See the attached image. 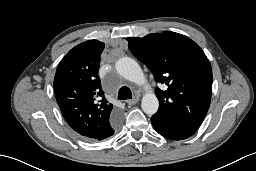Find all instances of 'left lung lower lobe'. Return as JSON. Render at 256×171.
Listing matches in <instances>:
<instances>
[{"label":"left lung lower lobe","instance_id":"left-lung-lower-lobe-1","mask_svg":"<svg viewBox=\"0 0 256 171\" xmlns=\"http://www.w3.org/2000/svg\"><path fill=\"white\" fill-rule=\"evenodd\" d=\"M154 129L162 136L172 140H182L190 137L192 134L182 130L171 119L153 115L151 118Z\"/></svg>","mask_w":256,"mask_h":171}]
</instances>
